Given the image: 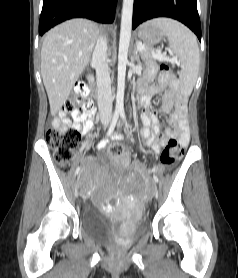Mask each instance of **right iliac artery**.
I'll use <instances>...</instances> for the list:
<instances>
[{
  "instance_id": "right-iliac-artery-1",
  "label": "right iliac artery",
  "mask_w": 238,
  "mask_h": 278,
  "mask_svg": "<svg viewBox=\"0 0 238 278\" xmlns=\"http://www.w3.org/2000/svg\"><path fill=\"white\" fill-rule=\"evenodd\" d=\"M118 118H119V114H118V113H115L114 116H113V118H112V122H111L110 127H109V129H108V131H107L106 136L111 135V133H112L113 130L115 129V126H116V123H117V121H118ZM80 170H81V167H78V168L76 169L75 173L78 174V173L80 172Z\"/></svg>"
}]
</instances>
